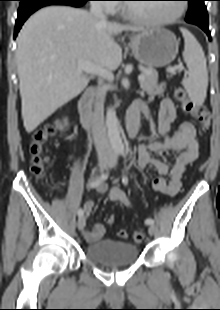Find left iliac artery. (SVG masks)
Segmentation results:
<instances>
[{
    "label": "left iliac artery",
    "instance_id": "1",
    "mask_svg": "<svg viewBox=\"0 0 220 310\" xmlns=\"http://www.w3.org/2000/svg\"><path fill=\"white\" fill-rule=\"evenodd\" d=\"M119 152L121 153V155L124 156V148L123 147L119 149ZM153 223H154V220L152 218H147L145 220V224H147V225H150V224H153Z\"/></svg>",
    "mask_w": 220,
    "mask_h": 310
}]
</instances>
